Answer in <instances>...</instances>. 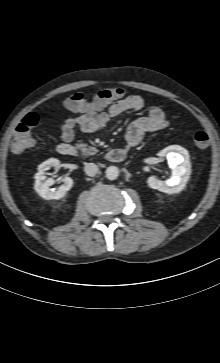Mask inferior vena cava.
I'll list each match as a JSON object with an SVG mask.
<instances>
[{"label": "inferior vena cava", "mask_w": 220, "mask_h": 363, "mask_svg": "<svg viewBox=\"0 0 220 363\" xmlns=\"http://www.w3.org/2000/svg\"><path fill=\"white\" fill-rule=\"evenodd\" d=\"M98 166L94 163H86L84 167V171L88 176H94L98 172Z\"/></svg>", "instance_id": "obj_1"}]
</instances>
